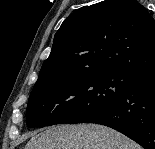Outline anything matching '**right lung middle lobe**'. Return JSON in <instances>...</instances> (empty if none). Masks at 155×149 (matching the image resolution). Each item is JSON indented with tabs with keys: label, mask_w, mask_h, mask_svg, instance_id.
<instances>
[{
	"label": "right lung middle lobe",
	"mask_w": 155,
	"mask_h": 149,
	"mask_svg": "<svg viewBox=\"0 0 155 149\" xmlns=\"http://www.w3.org/2000/svg\"><path fill=\"white\" fill-rule=\"evenodd\" d=\"M137 73L79 72L34 85L27 104V126L91 122L132 86Z\"/></svg>",
	"instance_id": "dd1d6c3e"
}]
</instances>
